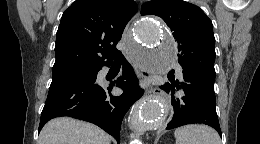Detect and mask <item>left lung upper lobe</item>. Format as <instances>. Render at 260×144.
I'll list each match as a JSON object with an SVG mask.
<instances>
[{
	"mask_svg": "<svg viewBox=\"0 0 260 144\" xmlns=\"http://www.w3.org/2000/svg\"><path fill=\"white\" fill-rule=\"evenodd\" d=\"M151 14L161 17L173 31L182 68L215 80L213 26L201 8L183 0H152L141 8V15Z\"/></svg>",
	"mask_w": 260,
	"mask_h": 144,
	"instance_id": "obj_1",
	"label": "left lung upper lobe"
}]
</instances>
